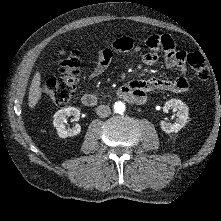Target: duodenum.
Wrapping results in <instances>:
<instances>
[{
  "label": "duodenum",
  "mask_w": 221,
  "mask_h": 221,
  "mask_svg": "<svg viewBox=\"0 0 221 221\" xmlns=\"http://www.w3.org/2000/svg\"><path fill=\"white\" fill-rule=\"evenodd\" d=\"M115 96L122 98L131 103H139L137 94L131 89L130 86L124 85L116 90ZM81 102L86 107H95L99 99L95 94L85 93L81 97Z\"/></svg>",
  "instance_id": "obj_1"
}]
</instances>
